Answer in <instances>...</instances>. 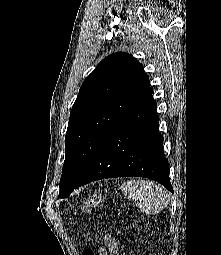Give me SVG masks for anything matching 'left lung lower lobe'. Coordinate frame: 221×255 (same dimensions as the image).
Listing matches in <instances>:
<instances>
[{
  "mask_svg": "<svg viewBox=\"0 0 221 255\" xmlns=\"http://www.w3.org/2000/svg\"><path fill=\"white\" fill-rule=\"evenodd\" d=\"M152 94L153 91L111 128L74 189L102 178L140 176L173 192Z\"/></svg>",
  "mask_w": 221,
  "mask_h": 255,
  "instance_id": "obj_1",
  "label": "left lung lower lobe"
}]
</instances>
